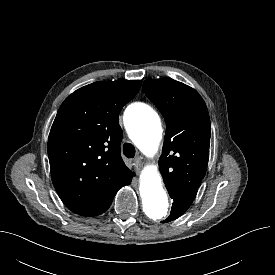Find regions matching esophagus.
<instances>
[{
  "instance_id": "obj_1",
  "label": "esophagus",
  "mask_w": 275,
  "mask_h": 275,
  "mask_svg": "<svg viewBox=\"0 0 275 275\" xmlns=\"http://www.w3.org/2000/svg\"><path fill=\"white\" fill-rule=\"evenodd\" d=\"M134 164L136 165V167L140 168L144 165V160L142 157H136L134 158Z\"/></svg>"
}]
</instances>
